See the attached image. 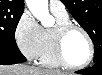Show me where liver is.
<instances>
[{
  "label": "liver",
  "mask_w": 102,
  "mask_h": 75,
  "mask_svg": "<svg viewBox=\"0 0 102 75\" xmlns=\"http://www.w3.org/2000/svg\"><path fill=\"white\" fill-rule=\"evenodd\" d=\"M0 75H62L60 72L46 70L23 64L3 65L0 67Z\"/></svg>",
  "instance_id": "1"
}]
</instances>
